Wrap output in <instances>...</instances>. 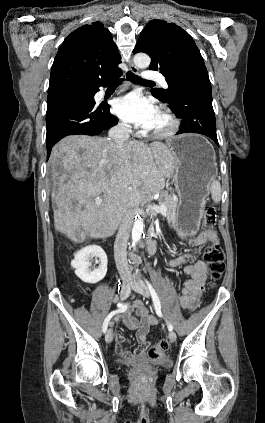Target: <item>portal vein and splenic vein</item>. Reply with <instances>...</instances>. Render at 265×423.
Returning <instances> with one entry per match:
<instances>
[{
    "label": "portal vein and splenic vein",
    "mask_w": 265,
    "mask_h": 423,
    "mask_svg": "<svg viewBox=\"0 0 265 423\" xmlns=\"http://www.w3.org/2000/svg\"><path fill=\"white\" fill-rule=\"evenodd\" d=\"M101 203H102V199L100 197H96L95 204L100 205ZM147 211H153L155 213H161L165 215L167 212V208L164 205L149 204L147 206Z\"/></svg>",
    "instance_id": "18ae733b"
}]
</instances>
